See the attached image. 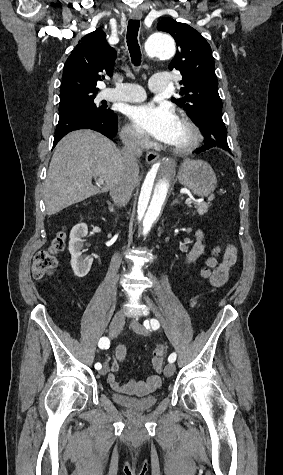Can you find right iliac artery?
Instances as JSON below:
<instances>
[{"label": "right iliac artery", "instance_id": "obj_1", "mask_svg": "<svg viewBox=\"0 0 283 475\" xmlns=\"http://www.w3.org/2000/svg\"><path fill=\"white\" fill-rule=\"evenodd\" d=\"M98 346L99 348L101 349H108L109 346H110V341L107 337H102L100 338L99 340V343H98ZM102 368V365L100 363H96L95 364V369L99 370Z\"/></svg>", "mask_w": 283, "mask_h": 475}]
</instances>
